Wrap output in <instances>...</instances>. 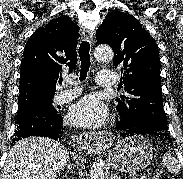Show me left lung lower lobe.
Returning <instances> with one entry per match:
<instances>
[{
    "mask_svg": "<svg viewBox=\"0 0 183 179\" xmlns=\"http://www.w3.org/2000/svg\"><path fill=\"white\" fill-rule=\"evenodd\" d=\"M117 128L121 131L120 136L122 138L129 137L135 134H150L168 139L171 142V138L169 137L168 132H160L142 126H134L123 118H121V120L118 122Z\"/></svg>",
    "mask_w": 183,
    "mask_h": 179,
    "instance_id": "obj_1",
    "label": "left lung lower lobe"
}]
</instances>
